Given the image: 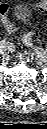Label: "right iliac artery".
<instances>
[{"instance_id":"right-iliac-artery-1","label":"right iliac artery","mask_w":47,"mask_h":129,"mask_svg":"<svg viewBox=\"0 0 47 129\" xmlns=\"http://www.w3.org/2000/svg\"><path fill=\"white\" fill-rule=\"evenodd\" d=\"M2 45H7V42H6L5 40H2V41L0 42V46H2Z\"/></svg>"}]
</instances>
